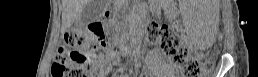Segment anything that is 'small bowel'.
Segmentation results:
<instances>
[{
  "instance_id": "obj_1",
  "label": "small bowel",
  "mask_w": 258,
  "mask_h": 77,
  "mask_svg": "<svg viewBox=\"0 0 258 77\" xmlns=\"http://www.w3.org/2000/svg\"><path fill=\"white\" fill-rule=\"evenodd\" d=\"M119 60V55L114 52L110 53H103L98 56L99 65L95 71L96 77H103L106 76L107 73L110 71L111 67L116 65ZM150 68L163 73L165 75L174 74V71L168 66H162L160 62H158L155 57H150Z\"/></svg>"
}]
</instances>
